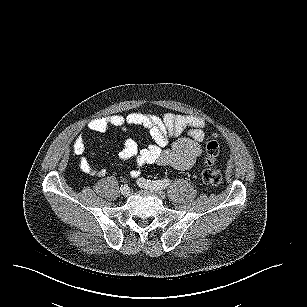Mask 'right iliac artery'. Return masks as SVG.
I'll list each match as a JSON object with an SVG mask.
<instances>
[{"instance_id":"obj_1","label":"right iliac artery","mask_w":307,"mask_h":307,"mask_svg":"<svg viewBox=\"0 0 307 307\" xmlns=\"http://www.w3.org/2000/svg\"><path fill=\"white\" fill-rule=\"evenodd\" d=\"M121 187H124V188H125V187H128V186H127V185H124V186L122 185ZM120 189H121V188H120Z\"/></svg>"}]
</instances>
